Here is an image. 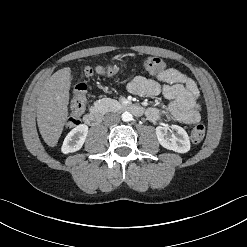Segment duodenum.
Returning <instances> with one entry per match:
<instances>
[{"instance_id":"410a0bca","label":"duodenum","mask_w":247,"mask_h":247,"mask_svg":"<svg viewBox=\"0 0 247 247\" xmlns=\"http://www.w3.org/2000/svg\"><path fill=\"white\" fill-rule=\"evenodd\" d=\"M123 109L128 110L137 116H141L144 113L143 107L138 104H126L123 106ZM101 119V113L97 110H92L84 116V122L89 126L99 125Z\"/></svg>"}]
</instances>
